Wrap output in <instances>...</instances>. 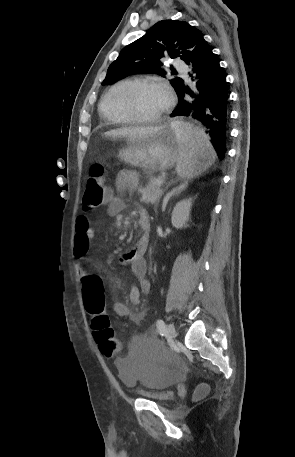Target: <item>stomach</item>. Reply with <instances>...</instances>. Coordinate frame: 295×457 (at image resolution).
Segmentation results:
<instances>
[{"instance_id":"1","label":"stomach","mask_w":295,"mask_h":457,"mask_svg":"<svg viewBox=\"0 0 295 457\" xmlns=\"http://www.w3.org/2000/svg\"><path fill=\"white\" fill-rule=\"evenodd\" d=\"M179 157L177 135L170 124H164L157 133L144 140H127V144L118 151V158L122 161L149 173L173 167ZM213 162L210 158L205 160L209 166Z\"/></svg>"}]
</instances>
